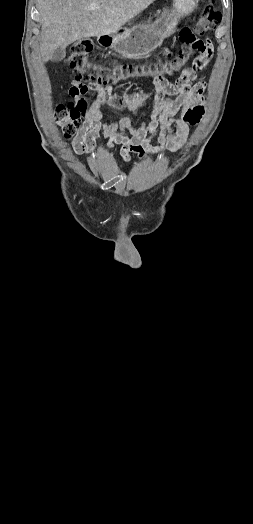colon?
Instances as JSON below:
<instances>
[{"label":"colon","mask_w":253,"mask_h":524,"mask_svg":"<svg viewBox=\"0 0 253 524\" xmlns=\"http://www.w3.org/2000/svg\"><path fill=\"white\" fill-rule=\"evenodd\" d=\"M215 2L211 0L199 17L193 29L196 34L200 36L209 34L219 24L221 15ZM201 43L205 42L201 41ZM189 45L183 44L182 49L174 54L172 60L158 59L149 64L121 63L106 66L108 57L104 53L98 55L97 61L91 59L92 44L88 39L76 42L68 57L69 66L76 73L69 93L76 90L78 95L74 97L73 101L60 104L55 109V120L63 135L66 138H72L80 129L81 118L89 110L90 104L83 94L85 89L82 88V81L87 82L91 89L99 90L109 88L111 84L120 80L150 78L153 73H162L165 77L170 76L191 61L189 55L193 52L189 50ZM202 114L203 108L196 106L187 112L186 117L190 123L196 124L200 121Z\"/></svg>","instance_id":"5ec220e1"}]
</instances>
